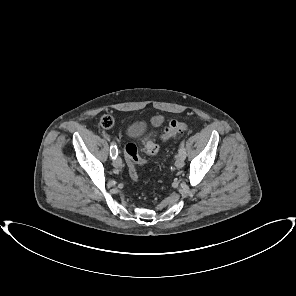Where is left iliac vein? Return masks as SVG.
Wrapping results in <instances>:
<instances>
[{"label": "left iliac vein", "mask_w": 296, "mask_h": 296, "mask_svg": "<svg viewBox=\"0 0 296 296\" xmlns=\"http://www.w3.org/2000/svg\"><path fill=\"white\" fill-rule=\"evenodd\" d=\"M176 168L180 169L184 166V158L179 156L175 161Z\"/></svg>", "instance_id": "1"}]
</instances>
